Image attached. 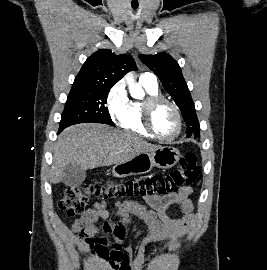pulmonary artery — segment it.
Masks as SVG:
<instances>
[{
    "label": "pulmonary artery",
    "instance_id": "1",
    "mask_svg": "<svg viewBox=\"0 0 267 270\" xmlns=\"http://www.w3.org/2000/svg\"><path fill=\"white\" fill-rule=\"evenodd\" d=\"M140 81L149 82L152 84H157L156 76L151 72H144L140 76Z\"/></svg>",
    "mask_w": 267,
    "mask_h": 270
}]
</instances>
